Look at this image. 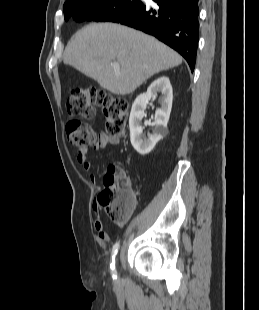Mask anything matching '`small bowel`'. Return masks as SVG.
<instances>
[{"label":"small bowel","mask_w":259,"mask_h":310,"mask_svg":"<svg viewBox=\"0 0 259 310\" xmlns=\"http://www.w3.org/2000/svg\"><path fill=\"white\" fill-rule=\"evenodd\" d=\"M118 143H119V139L117 137L108 135L106 133H101L98 137L97 144L94 146V149L99 150V149L105 148L106 146H115ZM76 157H77L78 163L83 167L85 171L89 173V178L93 186L96 189H99V185L96 182V176L92 171V163L90 162L88 158V149L87 148L78 149ZM128 219L129 217L124 222L120 223L119 225L124 226L127 223ZM94 229L97 233H99L102 239L107 238V232L104 230V226L101 221L97 220L94 222Z\"/></svg>","instance_id":"small-bowel-1"}]
</instances>
